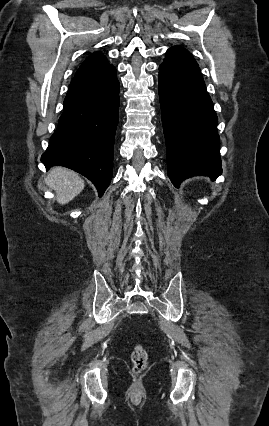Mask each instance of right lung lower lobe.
<instances>
[{"label": "right lung lower lobe", "instance_id": "98d812e1", "mask_svg": "<svg viewBox=\"0 0 269 426\" xmlns=\"http://www.w3.org/2000/svg\"><path fill=\"white\" fill-rule=\"evenodd\" d=\"M114 66L75 76L64 100L58 127L41 161L87 177L101 196L110 184L119 109Z\"/></svg>", "mask_w": 269, "mask_h": 426}]
</instances>
